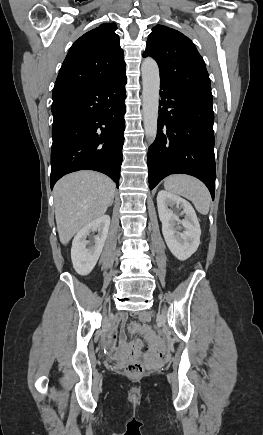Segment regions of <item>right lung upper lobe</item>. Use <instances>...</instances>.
Returning <instances> with one entry per match:
<instances>
[{
	"instance_id": "right-lung-upper-lobe-1",
	"label": "right lung upper lobe",
	"mask_w": 263,
	"mask_h": 435,
	"mask_svg": "<svg viewBox=\"0 0 263 435\" xmlns=\"http://www.w3.org/2000/svg\"><path fill=\"white\" fill-rule=\"evenodd\" d=\"M116 24H101L70 48L55 82L52 96L80 90L125 72Z\"/></svg>"
}]
</instances>
